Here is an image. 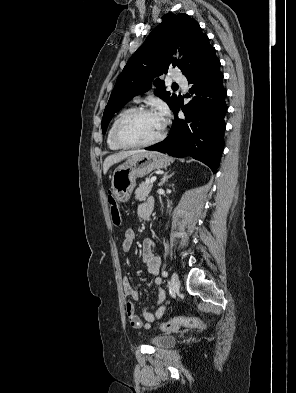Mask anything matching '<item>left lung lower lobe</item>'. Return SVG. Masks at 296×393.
<instances>
[{"label":"left lung lower lobe","instance_id":"0a47b994","mask_svg":"<svg viewBox=\"0 0 296 393\" xmlns=\"http://www.w3.org/2000/svg\"><path fill=\"white\" fill-rule=\"evenodd\" d=\"M187 79L193 84L187 97L193 95L194 98L182 108L185 119L178 117V103L173 110L175 119L169 136L145 149L179 158L191 156L216 173L224 148L227 91L223 87V74L215 49Z\"/></svg>","mask_w":296,"mask_h":393}]
</instances>
